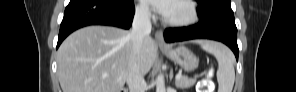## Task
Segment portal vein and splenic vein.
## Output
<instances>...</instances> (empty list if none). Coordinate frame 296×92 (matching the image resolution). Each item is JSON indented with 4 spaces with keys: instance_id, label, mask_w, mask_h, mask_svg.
<instances>
[{
    "instance_id": "1",
    "label": "portal vein and splenic vein",
    "mask_w": 296,
    "mask_h": 92,
    "mask_svg": "<svg viewBox=\"0 0 296 92\" xmlns=\"http://www.w3.org/2000/svg\"><path fill=\"white\" fill-rule=\"evenodd\" d=\"M104 76H106V75H104ZM181 78H182V75L181 74H178V75L175 76V80L176 81L179 80V79H181Z\"/></svg>"
}]
</instances>
